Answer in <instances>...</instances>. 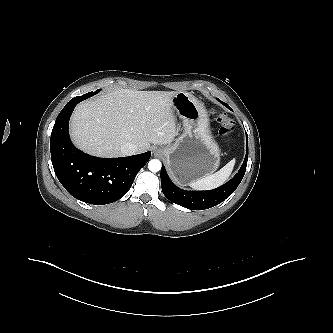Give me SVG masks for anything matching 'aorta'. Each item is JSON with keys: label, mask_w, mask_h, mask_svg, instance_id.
Wrapping results in <instances>:
<instances>
[{"label": "aorta", "mask_w": 333, "mask_h": 333, "mask_svg": "<svg viewBox=\"0 0 333 333\" xmlns=\"http://www.w3.org/2000/svg\"><path fill=\"white\" fill-rule=\"evenodd\" d=\"M148 169L151 172H158L161 169V162L158 159H152L148 163Z\"/></svg>", "instance_id": "aorta-1"}]
</instances>
